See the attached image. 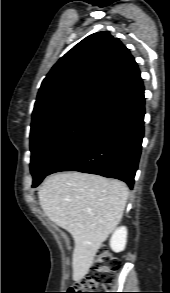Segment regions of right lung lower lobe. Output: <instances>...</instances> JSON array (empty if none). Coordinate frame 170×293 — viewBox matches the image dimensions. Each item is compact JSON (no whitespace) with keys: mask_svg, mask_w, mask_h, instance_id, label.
<instances>
[{"mask_svg":"<svg viewBox=\"0 0 170 293\" xmlns=\"http://www.w3.org/2000/svg\"><path fill=\"white\" fill-rule=\"evenodd\" d=\"M144 104L143 84L107 104L84 135L55 162L49 174H98L120 179L132 188L144 136Z\"/></svg>","mask_w":170,"mask_h":293,"instance_id":"obj_1","label":"right lung lower lobe"}]
</instances>
